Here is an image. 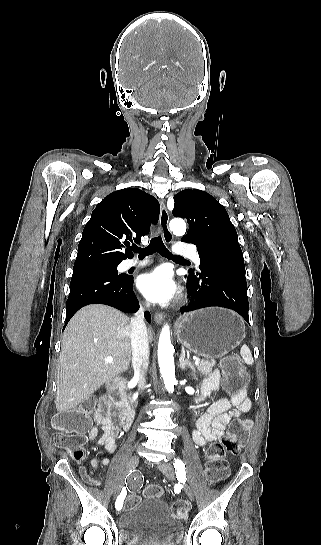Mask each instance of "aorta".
<instances>
[{
  "label": "aorta",
  "instance_id": "aorta-1",
  "mask_svg": "<svg viewBox=\"0 0 321 545\" xmlns=\"http://www.w3.org/2000/svg\"><path fill=\"white\" fill-rule=\"evenodd\" d=\"M170 229L176 235H184L186 232V223L181 219H173L170 222ZM173 353L174 347L170 340L169 326L165 325L158 343V361L165 388L171 393L174 391L176 383Z\"/></svg>",
  "mask_w": 321,
  "mask_h": 545
}]
</instances>
